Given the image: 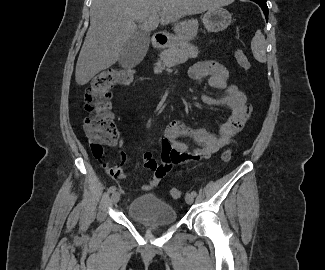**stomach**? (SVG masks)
I'll list each match as a JSON object with an SVG mask.
<instances>
[{
    "mask_svg": "<svg viewBox=\"0 0 325 270\" xmlns=\"http://www.w3.org/2000/svg\"><path fill=\"white\" fill-rule=\"evenodd\" d=\"M232 21L231 14L223 8H211L203 16V24L210 32H218L225 30ZM195 37V36H194ZM194 37L185 36L180 38L178 36L171 37L169 45L178 46L180 44L188 43Z\"/></svg>",
    "mask_w": 325,
    "mask_h": 270,
    "instance_id": "1",
    "label": "stomach"
}]
</instances>
